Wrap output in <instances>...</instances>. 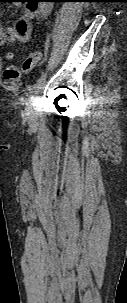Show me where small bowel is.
<instances>
[{
    "instance_id": "c3829d8e",
    "label": "small bowel",
    "mask_w": 127,
    "mask_h": 303,
    "mask_svg": "<svg viewBox=\"0 0 127 303\" xmlns=\"http://www.w3.org/2000/svg\"><path fill=\"white\" fill-rule=\"evenodd\" d=\"M48 1L51 0H27L23 16L13 26L3 29L0 25V44L26 42L31 35V20L36 17H47L50 14L52 5L44 3ZM9 57H12L11 53Z\"/></svg>"
}]
</instances>
